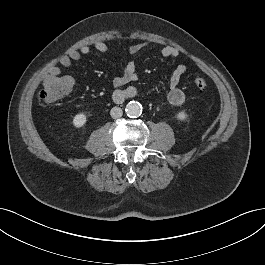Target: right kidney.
<instances>
[{"mask_svg": "<svg viewBox=\"0 0 265 265\" xmlns=\"http://www.w3.org/2000/svg\"><path fill=\"white\" fill-rule=\"evenodd\" d=\"M86 121H87V117H86V115L84 113L76 114L73 117V125L76 128L83 127L85 125Z\"/></svg>", "mask_w": 265, "mask_h": 265, "instance_id": "right-kidney-1", "label": "right kidney"}]
</instances>
